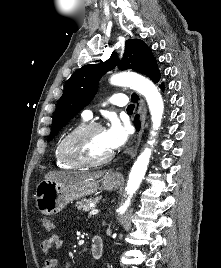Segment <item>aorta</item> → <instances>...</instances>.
<instances>
[{
	"label": "aorta",
	"instance_id": "1",
	"mask_svg": "<svg viewBox=\"0 0 221 268\" xmlns=\"http://www.w3.org/2000/svg\"><path fill=\"white\" fill-rule=\"evenodd\" d=\"M110 83L116 86L130 87L141 93L145 97L149 106L152 120V130L150 132V135L151 137H155L157 134V130H159V127L161 125L162 116L164 112L162 96L158 91L157 87L150 80L135 73L115 74L110 78ZM153 143L154 140L150 141V145H153ZM151 153V148H145L144 151L134 162L129 174L126 187L128 197L125 203L118 210L120 214L125 213L128 206L130 205L131 198L138 190L142 179L144 178V175L146 173Z\"/></svg>",
	"mask_w": 221,
	"mask_h": 268
}]
</instances>
